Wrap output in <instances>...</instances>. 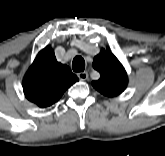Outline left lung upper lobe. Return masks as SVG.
<instances>
[{
    "label": "left lung upper lobe",
    "mask_w": 165,
    "mask_h": 156,
    "mask_svg": "<svg viewBox=\"0 0 165 156\" xmlns=\"http://www.w3.org/2000/svg\"><path fill=\"white\" fill-rule=\"evenodd\" d=\"M93 67L100 73V79L92 82V86L107 97L121 94L128 83L125 69L110 49H102L94 57Z\"/></svg>",
    "instance_id": "5c2ea615"
}]
</instances>
